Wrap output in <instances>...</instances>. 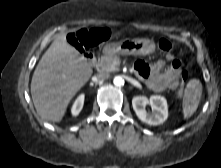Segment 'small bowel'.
Listing matches in <instances>:
<instances>
[{"label": "small bowel", "mask_w": 221, "mask_h": 168, "mask_svg": "<svg viewBox=\"0 0 221 168\" xmlns=\"http://www.w3.org/2000/svg\"><path fill=\"white\" fill-rule=\"evenodd\" d=\"M183 64L168 55L165 60L154 63L138 61L135 70L139 77L154 91L174 90L179 84Z\"/></svg>", "instance_id": "c3829d8e"}]
</instances>
